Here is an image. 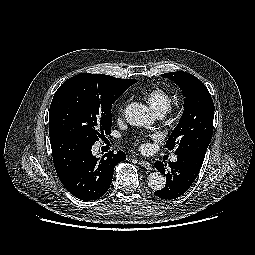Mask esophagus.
<instances>
[{
    "instance_id": "34e87169",
    "label": "esophagus",
    "mask_w": 255,
    "mask_h": 255,
    "mask_svg": "<svg viewBox=\"0 0 255 255\" xmlns=\"http://www.w3.org/2000/svg\"><path fill=\"white\" fill-rule=\"evenodd\" d=\"M139 164H140L142 167L146 168V169H149V170H152V169H153L152 164H151L150 162H148V161L141 160V161H139Z\"/></svg>"
}]
</instances>
